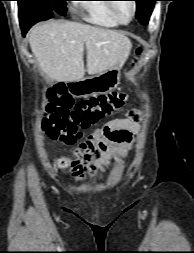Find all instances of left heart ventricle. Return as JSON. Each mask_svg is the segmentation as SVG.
Masks as SVG:
<instances>
[{
	"mask_svg": "<svg viewBox=\"0 0 194 253\" xmlns=\"http://www.w3.org/2000/svg\"><path fill=\"white\" fill-rule=\"evenodd\" d=\"M117 10L124 20H129L133 13L132 1H118L116 2Z\"/></svg>",
	"mask_w": 194,
	"mask_h": 253,
	"instance_id": "obj_1",
	"label": "left heart ventricle"
}]
</instances>
